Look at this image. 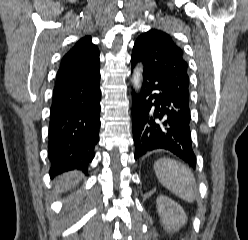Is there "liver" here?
<instances>
[{
  "mask_svg": "<svg viewBox=\"0 0 248 240\" xmlns=\"http://www.w3.org/2000/svg\"><path fill=\"white\" fill-rule=\"evenodd\" d=\"M82 176V173L79 171H71L61 175L59 181L55 183L56 191L63 192L69 190L81 180Z\"/></svg>",
  "mask_w": 248,
  "mask_h": 240,
  "instance_id": "6515ba94",
  "label": "liver"
}]
</instances>
